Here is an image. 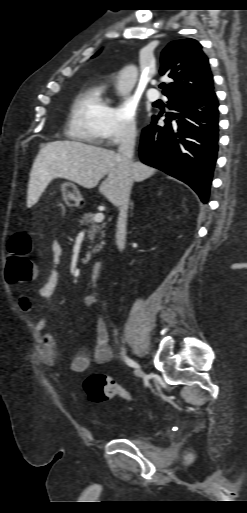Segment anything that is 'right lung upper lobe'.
I'll return each instance as SVG.
<instances>
[{
	"mask_svg": "<svg viewBox=\"0 0 247 513\" xmlns=\"http://www.w3.org/2000/svg\"><path fill=\"white\" fill-rule=\"evenodd\" d=\"M160 74L174 80L163 90L166 96L198 95L214 88L208 58L194 39L172 41L164 49Z\"/></svg>",
	"mask_w": 247,
	"mask_h": 513,
	"instance_id": "right-lung-upper-lobe-1",
	"label": "right lung upper lobe"
}]
</instances>
